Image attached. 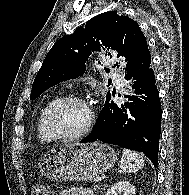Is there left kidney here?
<instances>
[{
    "label": "left kidney",
    "mask_w": 189,
    "mask_h": 195,
    "mask_svg": "<svg viewBox=\"0 0 189 195\" xmlns=\"http://www.w3.org/2000/svg\"><path fill=\"white\" fill-rule=\"evenodd\" d=\"M135 195V187L128 181H121L111 186L106 195Z\"/></svg>",
    "instance_id": "1"
}]
</instances>
